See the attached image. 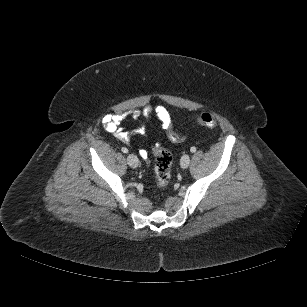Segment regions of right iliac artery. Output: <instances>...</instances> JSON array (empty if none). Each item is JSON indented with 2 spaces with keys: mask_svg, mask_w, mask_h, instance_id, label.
<instances>
[{
  "mask_svg": "<svg viewBox=\"0 0 307 307\" xmlns=\"http://www.w3.org/2000/svg\"><path fill=\"white\" fill-rule=\"evenodd\" d=\"M121 151H122L123 153H128V149L125 148V147H122Z\"/></svg>",
  "mask_w": 307,
  "mask_h": 307,
  "instance_id": "right-iliac-artery-1",
  "label": "right iliac artery"
}]
</instances>
